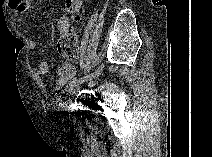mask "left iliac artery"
I'll return each instance as SVG.
<instances>
[{
  "instance_id": "left-iliac-artery-1",
  "label": "left iliac artery",
  "mask_w": 212,
  "mask_h": 157,
  "mask_svg": "<svg viewBox=\"0 0 212 157\" xmlns=\"http://www.w3.org/2000/svg\"><path fill=\"white\" fill-rule=\"evenodd\" d=\"M103 69H104V62H101V64L98 66V68L94 72L79 78H75L72 82H70L69 90H71L76 85L82 84L88 80L98 77L103 71Z\"/></svg>"
}]
</instances>
